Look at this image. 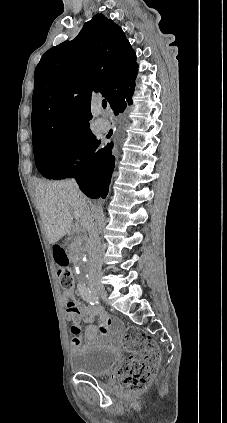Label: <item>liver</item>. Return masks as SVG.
<instances>
[{
    "label": "liver",
    "instance_id": "obj_1",
    "mask_svg": "<svg viewBox=\"0 0 227 423\" xmlns=\"http://www.w3.org/2000/svg\"><path fill=\"white\" fill-rule=\"evenodd\" d=\"M35 198L49 243H56L72 231L73 213H78L77 219L82 223L84 204L88 206L86 196L72 180L38 184Z\"/></svg>",
    "mask_w": 227,
    "mask_h": 423
}]
</instances>
